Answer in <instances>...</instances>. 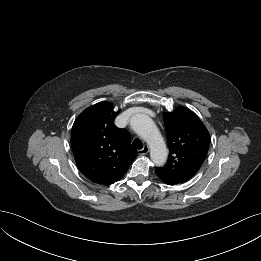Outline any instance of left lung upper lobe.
Wrapping results in <instances>:
<instances>
[{
  "label": "left lung upper lobe",
  "mask_w": 261,
  "mask_h": 261,
  "mask_svg": "<svg viewBox=\"0 0 261 261\" xmlns=\"http://www.w3.org/2000/svg\"><path fill=\"white\" fill-rule=\"evenodd\" d=\"M163 118L169 157L164 167H155V172L159 178L183 183L191 179L203 164L210 135L201 120L185 107L164 113Z\"/></svg>",
  "instance_id": "1"
}]
</instances>
